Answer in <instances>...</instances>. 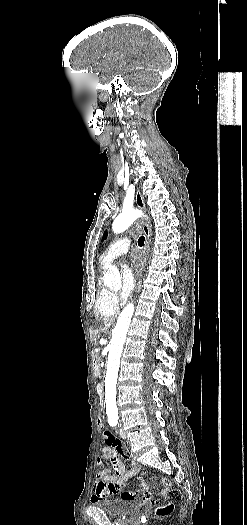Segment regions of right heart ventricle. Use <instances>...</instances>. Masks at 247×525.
<instances>
[{
	"label": "right heart ventricle",
	"mask_w": 247,
	"mask_h": 525,
	"mask_svg": "<svg viewBox=\"0 0 247 525\" xmlns=\"http://www.w3.org/2000/svg\"><path fill=\"white\" fill-rule=\"evenodd\" d=\"M108 261L101 256L99 266L103 270L107 266ZM108 291L106 288V283L102 278L101 274L98 277L97 281V303L94 307L95 317H116L118 314V307L116 304H107L105 299L107 297Z\"/></svg>",
	"instance_id": "e07e8e85"
}]
</instances>
